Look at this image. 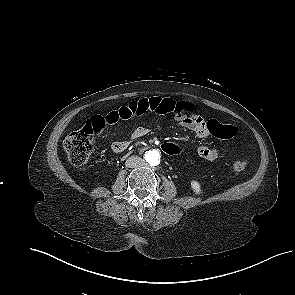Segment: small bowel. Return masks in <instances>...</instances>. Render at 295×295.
<instances>
[{
  "mask_svg": "<svg viewBox=\"0 0 295 295\" xmlns=\"http://www.w3.org/2000/svg\"><path fill=\"white\" fill-rule=\"evenodd\" d=\"M186 102L178 101L173 98L148 97L131 101L126 105L102 116L105 126L113 125L119 121H126L133 117L145 113H155L157 115L173 114L176 122L183 128L195 133L199 138H205L210 135L208 122L200 115L194 114L185 108ZM149 133L147 127H137L131 134L130 140L115 141L111 145L114 153L120 154L126 151L132 140H137ZM198 155L206 161L215 160L219 152L217 149L207 145L198 147Z\"/></svg>",
  "mask_w": 295,
  "mask_h": 295,
  "instance_id": "small-bowel-1",
  "label": "small bowel"
}]
</instances>
